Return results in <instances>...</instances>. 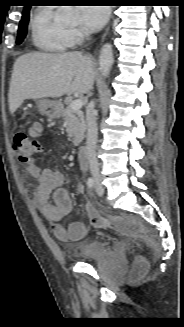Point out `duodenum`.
Listing matches in <instances>:
<instances>
[{
    "instance_id": "obj_1",
    "label": "duodenum",
    "mask_w": 184,
    "mask_h": 327,
    "mask_svg": "<svg viewBox=\"0 0 184 327\" xmlns=\"http://www.w3.org/2000/svg\"><path fill=\"white\" fill-rule=\"evenodd\" d=\"M80 165L85 168L88 165V150L85 146H80L78 151Z\"/></svg>"
}]
</instances>
